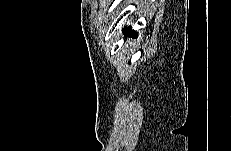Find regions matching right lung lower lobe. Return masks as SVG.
<instances>
[{
	"mask_svg": "<svg viewBox=\"0 0 231 151\" xmlns=\"http://www.w3.org/2000/svg\"><path fill=\"white\" fill-rule=\"evenodd\" d=\"M124 33L126 34V35H129V36H132V37H137V33H136V31H134V30H132L130 27H126L125 29H124Z\"/></svg>",
	"mask_w": 231,
	"mask_h": 151,
	"instance_id": "98d812e1",
	"label": "right lung lower lobe"
}]
</instances>
